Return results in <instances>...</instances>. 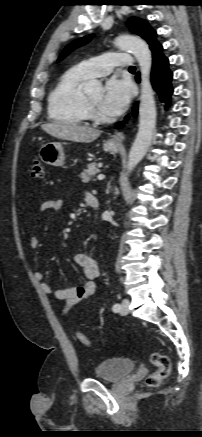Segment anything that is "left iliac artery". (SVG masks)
I'll return each mask as SVG.
<instances>
[{
    "instance_id": "obj_1",
    "label": "left iliac artery",
    "mask_w": 202,
    "mask_h": 437,
    "mask_svg": "<svg viewBox=\"0 0 202 437\" xmlns=\"http://www.w3.org/2000/svg\"><path fill=\"white\" fill-rule=\"evenodd\" d=\"M120 309H121V305L118 304V303H117V304H114L113 307H112V310H113L114 312H119Z\"/></svg>"
}]
</instances>
